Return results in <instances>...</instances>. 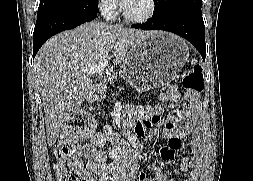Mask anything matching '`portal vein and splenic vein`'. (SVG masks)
<instances>
[{
  "instance_id": "portal-vein-and-splenic-vein-1",
  "label": "portal vein and splenic vein",
  "mask_w": 253,
  "mask_h": 181,
  "mask_svg": "<svg viewBox=\"0 0 253 181\" xmlns=\"http://www.w3.org/2000/svg\"><path fill=\"white\" fill-rule=\"evenodd\" d=\"M109 59H102L97 64H90L84 68V72L87 75L98 74L103 76L106 73V67L108 66Z\"/></svg>"
}]
</instances>
